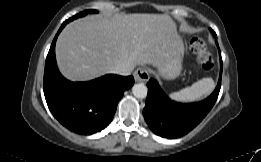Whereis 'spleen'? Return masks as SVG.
<instances>
[{"label":"spleen","instance_id":"spleen-1","mask_svg":"<svg viewBox=\"0 0 261 162\" xmlns=\"http://www.w3.org/2000/svg\"><path fill=\"white\" fill-rule=\"evenodd\" d=\"M215 83L212 78H203L191 86L178 92L171 93V99L178 102H194L208 96L214 89Z\"/></svg>","mask_w":261,"mask_h":162}]
</instances>
